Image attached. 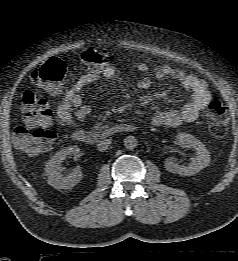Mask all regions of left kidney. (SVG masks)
<instances>
[{"label": "left kidney", "instance_id": "obj_1", "mask_svg": "<svg viewBox=\"0 0 238 261\" xmlns=\"http://www.w3.org/2000/svg\"><path fill=\"white\" fill-rule=\"evenodd\" d=\"M177 139L180 142H185L188 147L193 148L196 155L188 166L178 165L172 157L166 158L164 166L167 171L181 176H192L209 165L210 154L198 139L187 133H179Z\"/></svg>", "mask_w": 238, "mask_h": 261}]
</instances>
